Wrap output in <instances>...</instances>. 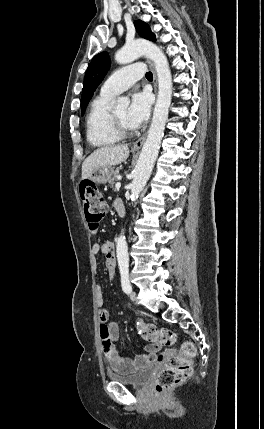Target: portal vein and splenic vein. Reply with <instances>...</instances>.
<instances>
[{
	"label": "portal vein and splenic vein",
	"instance_id": "1",
	"mask_svg": "<svg viewBox=\"0 0 264 429\" xmlns=\"http://www.w3.org/2000/svg\"><path fill=\"white\" fill-rule=\"evenodd\" d=\"M120 187H121V183H120V182H117V183L115 184V188L119 189Z\"/></svg>",
	"mask_w": 264,
	"mask_h": 429
}]
</instances>
